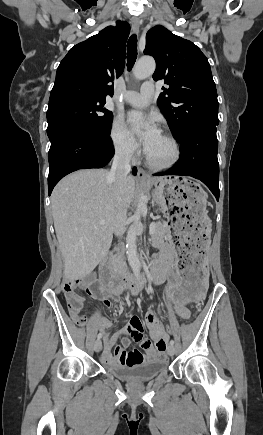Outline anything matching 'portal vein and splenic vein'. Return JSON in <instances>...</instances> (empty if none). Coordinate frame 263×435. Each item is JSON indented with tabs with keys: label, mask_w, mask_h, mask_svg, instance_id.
<instances>
[{
	"label": "portal vein and splenic vein",
	"mask_w": 263,
	"mask_h": 435,
	"mask_svg": "<svg viewBox=\"0 0 263 435\" xmlns=\"http://www.w3.org/2000/svg\"><path fill=\"white\" fill-rule=\"evenodd\" d=\"M105 221H101L100 224H104ZM156 227V223L152 222L149 226V234L152 235Z\"/></svg>",
	"instance_id": "18ae733b"
}]
</instances>
